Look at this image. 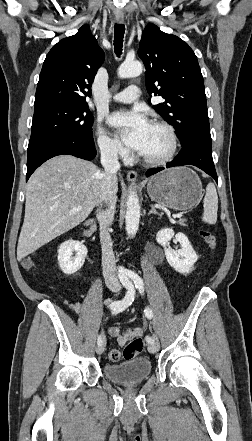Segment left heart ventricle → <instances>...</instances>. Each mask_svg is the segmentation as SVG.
Masks as SVG:
<instances>
[{"label": "left heart ventricle", "mask_w": 252, "mask_h": 441, "mask_svg": "<svg viewBox=\"0 0 252 441\" xmlns=\"http://www.w3.org/2000/svg\"><path fill=\"white\" fill-rule=\"evenodd\" d=\"M169 148L170 141L166 132L152 125L145 148L141 154L149 158H159L165 155Z\"/></svg>", "instance_id": "1"}]
</instances>
